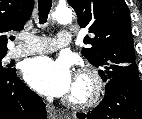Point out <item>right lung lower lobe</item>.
Listing matches in <instances>:
<instances>
[{"label":"right lung lower lobe","mask_w":142,"mask_h":119,"mask_svg":"<svg viewBox=\"0 0 142 119\" xmlns=\"http://www.w3.org/2000/svg\"><path fill=\"white\" fill-rule=\"evenodd\" d=\"M45 103L19 78L16 70L0 76V119H46Z\"/></svg>","instance_id":"obj_1"}]
</instances>
